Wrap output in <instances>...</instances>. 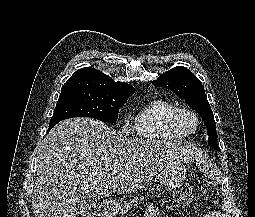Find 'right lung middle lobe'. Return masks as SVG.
<instances>
[{
  "label": "right lung middle lobe",
  "instance_id": "obj_1",
  "mask_svg": "<svg viewBox=\"0 0 255 217\" xmlns=\"http://www.w3.org/2000/svg\"><path fill=\"white\" fill-rule=\"evenodd\" d=\"M131 95V93H103L80 89L61 91L49 125L73 117H90L115 123L120 108Z\"/></svg>",
  "mask_w": 255,
  "mask_h": 217
}]
</instances>
